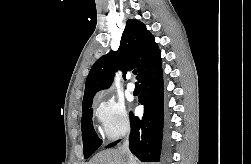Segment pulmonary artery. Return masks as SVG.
Masks as SVG:
<instances>
[{"label": "pulmonary artery", "instance_id": "1", "mask_svg": "<svg viewBox=\"0 0 251 164\" xmlns=\"http://www.w3.org/2000/svg\"><path fill=\"white\" fill-rule=\"evenodd\" d=\"M127 89H128V91H130V92H134V91H135V84H134L133 82H129V83L127 84Z\"/></svg>", "mask_w": 251, "mask_h": 164}]
</instances>
